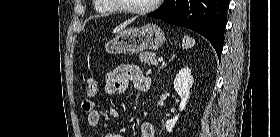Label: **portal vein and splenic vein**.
<instances>
[{
    "label": "portal vein and splenic vein",
    "instance_id": "obj_1",
    "mask_svg": "<svg viewBox=\"0 0 280 137\" xmlns=\"http://www.w3.org/2000/svg\"><path fill=\"white\" fill-rule=\"evenodd\" d=\"M158 61H160V62H161V61H163V59H162V58H159V59H158Z\"/></svg>",
    "mask_w": 280,
    "mask_h": 137
}]
</instances>
